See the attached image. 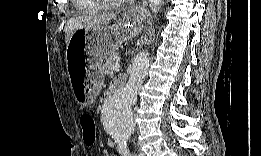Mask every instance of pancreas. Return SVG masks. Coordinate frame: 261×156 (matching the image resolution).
<instances>
[{
	"instance_id": "pancreas-1",
	"label": "pancreas",
	"mask_w": 261,
	"mask_h": 156,
	"mask_svg": "<svg viewBox=\"0 0 261 156\" xmlns=\"http://www.w3.org/2000/svg\"><path fill=\"white\" fill-rule=\"evenodd\" d=\"M119 63V54L117 52H111L106 59V62L101 66L100 73L102 75L110 74L113 69V65Z\"/></svg>"
}]
</instances>
